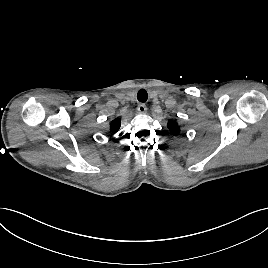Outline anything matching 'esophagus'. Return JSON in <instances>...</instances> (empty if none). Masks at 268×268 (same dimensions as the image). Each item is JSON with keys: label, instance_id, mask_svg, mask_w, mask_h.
<instances>
[{"label": "esophagus", "instance_id": "34e87169", "mask_svg": "<svg viewBox=\"0 0 268 268\" xmlns=\"http://www.w3.org/2000/svg\"><path fill=\"white\" fill-rule=\"evenodd\" d=\"M137 110L139 113L143 114L147 111V107L145 104L141 103L138 105Z\"/></svg>", "mask_w": 268, "mask_h": 268}]
</instances>
